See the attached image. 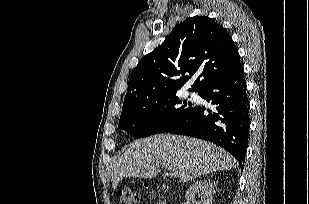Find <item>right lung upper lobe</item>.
<instances>
[{
  "label": "right lung upper lobe",
  "instance_id": "cb5924a9",
  "mask_svg": "<svg viewBox=\"0 0 309 204\" xmlns=\"http://www.w3.org/2000/svg\"><path fill=\"white\" fill-rule=\"evenodd\" d=\"M240 66L236 46L220 24L206 16L190 17L141 59L124 102L177 92L195 73L200 75L189 90L199 92Z\"/></svg>",
  "mask_w": 309,
  "mask_h": 204
}]
</instances>
